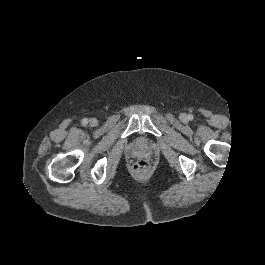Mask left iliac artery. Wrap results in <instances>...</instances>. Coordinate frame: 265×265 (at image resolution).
<instances>
[{
    "label": "left iliac artery",
    "instance_id": "1",
    "mask_svg": "<svg viewBox=\"0 0 265 265\" xmlns=\"http://www.w3.org/2000/svg\"><path fill=\"white\" fill-rule=\"evenodd\" d=\"M193 118H194V117H193L192 114H189V115H188V119H189V120H193Z\"/></svg>",
    "mask_w": 265,
    "mask_h": 265
}]
</instances>
